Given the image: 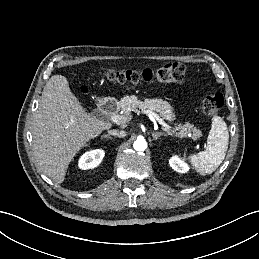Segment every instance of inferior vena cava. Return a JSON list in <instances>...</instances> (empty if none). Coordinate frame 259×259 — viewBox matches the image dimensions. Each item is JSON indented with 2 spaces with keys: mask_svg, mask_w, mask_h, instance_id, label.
Instances as JSON below:
<instances>
[{
  "mask_svg": "<svg viewBox=\"0 0 259 259\" xmlns=\"http://www.w3.org/2000/svg\"><path fill=\"white\" fill-rule=\"evenodd\" d=\"M108 133L119 138H123L126 136V132L123 130H109Z\"/></svg>",
  "mask_w": 259,
  "mask_h": 259,
  "instance_id": "1",
  "label": "inferior vena cava"
}]
</instances>
